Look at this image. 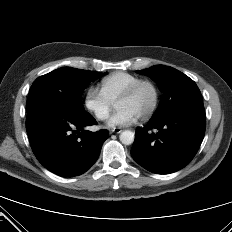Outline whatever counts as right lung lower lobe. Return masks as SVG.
Masks as SVG:
<instances>
[{
	"instance_id": "right-lung-lower-lobe-1",
	"label": "right lung lower lobe",
	"mask_w": 232,
	"mask_h": 232,
	"mask_svg": "<svg viewBox=\"0 0 232 232\" xmlns=\"http://www.w3.org/2000/svg\"><path fill=\"white\" fill-rule=\"evenodd\" d=\"M26 130L38 161L62 177L86 172L98 159L107 130L91 132L96 123L87 112L36 108L27 112Z\"/></svg>"
}]
</instances>
